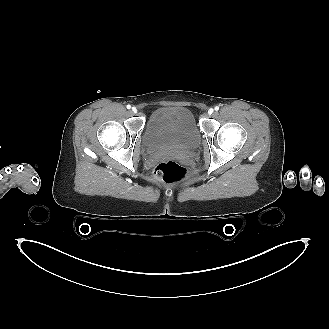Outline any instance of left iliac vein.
Returning a JSON list of instances; mask_svg holds the SVG:
<instances>
[{
  "label": "left iliac vein",
  "instance_id": "obj_1",
  "mask_svg": "<svg viewBox=\"0 0 329 329\" xmlns=\"http://www.w3.org/2000/svg\"><path fill=\"white\" fill-rule=\"evenodd\" d=\"M214 109L213 108H209L208 109V114L211 115L213 113Z\"/></svg>",
  "mask_w": 329,
  "mask_h": 329
}]
</instances>
